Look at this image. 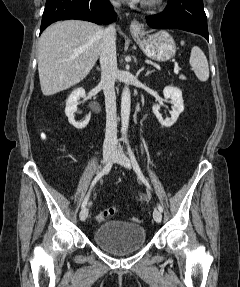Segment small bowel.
Listing matches in <instances>:
<instances>
[{
  "mask_svg": "<svg viewBox=\"0 0 240 287\" xmlns=\"http://www.w3.org/2000/svg\"><path fill=\"white\" fill-rule=\"evenodd\" d=\"M136 200L140 203H144V202H146L147 198L145 195H139V196H137Z\"/></svg>",
  "mask_w": 240,
  "mask_h": 287,
  "instance_id": "obj_1",
  "label": "small bowel"
}]
</instances>
